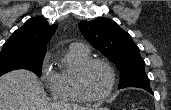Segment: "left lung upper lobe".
<instances>
[{
	"label": "left lung upper lobe",
	"mask_w": 171,
	"mask_h": 110,
	"mask_svg": "<svg viewBox=\"0 0 171 110\" xmlns=\"http://www.w3.org/2000/svg\"><path fill=\"white\" fill-rule=\"evenodd\" d=\"M79 29L95 49L116 64L120 71L119 88L151 89L140 50L126 31L103 18L81 21Z\"/></svg>",
	"instance_id": "5c2ea615"
}]
</instances>
